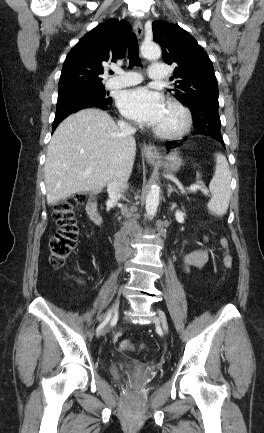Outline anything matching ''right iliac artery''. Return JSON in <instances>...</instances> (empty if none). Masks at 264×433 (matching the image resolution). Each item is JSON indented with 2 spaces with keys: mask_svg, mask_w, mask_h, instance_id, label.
Wrapping results in <instances>:
<instances>
[{
  "mask_svg": "<svg viewBox=\"0 0 264 433\" xmlns=\"http://www.w3.org/2000/svg\"><path fill=\"white\" fill-rule=\"evenodd\" d=\"M110 320V312L107 314L105 320L98 326L97 332H99Z\"/></svg>",
  "mask_w": 264,
  "mask_h": 433,
  "instance_id": "obj_1",
  "label": "right iliac artery"
}]
</instances>
